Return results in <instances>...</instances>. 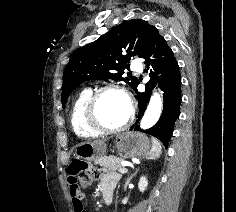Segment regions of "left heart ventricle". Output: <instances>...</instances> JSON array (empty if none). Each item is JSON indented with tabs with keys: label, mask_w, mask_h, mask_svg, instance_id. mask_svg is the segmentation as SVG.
I'll use <instances>...</instances> for the list:
<instances>
[{
	"label": "left heart ventricle",
	"mask_w": 236,
	"mask_h": 212,
	"mask_svg": "<svg viewBox=\"0 0 236 212\" xmlns=\"http://www.w3.org/2000/svg\"><path fill=\"white\" fill-rule=\"evenodd\" d=\"M128 112V102L118 91H107L98 100L97 116L106 128H117L122 125Z\"/></svg>",
	"instance_id": "obj_1"
}]
</instances>
